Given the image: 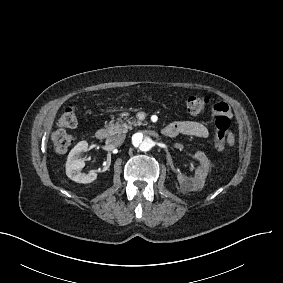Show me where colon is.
I'll list each match as a JSON object with an SVG mask.
<instances>
[{"instance_id":"colon-1","label":"colon","mask_w":283,"mask_h":283,"mask_svg":"<svg viewBox=\"0 0 283 283\" xmlns=\"http://www.w3.org/2000/svg\"><path fill=\"white\" fill-rule=\"evenodd\" d=\"M208 99L202 95H191L186 97V109L191 115H199L206 109ZM80 114L75 106H67L61 113L58 125L51 134V140L56 153L67 152L73 144V137L64 130V127L76 126L79 123ZM231 127V118L225 114L216 116L215 129L212 136L214 148L221 151L225 148V143Z\"/></svg>"}]
</instances>
